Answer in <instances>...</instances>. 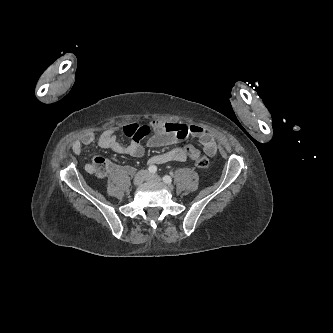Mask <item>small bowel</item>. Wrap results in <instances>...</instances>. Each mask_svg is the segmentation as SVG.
I'll use <instances>...</instances> for the list:
<instances>
[{
    "mask_svg": "<svg viewBox=\"0 0 333 333\" xmlns=\"http://www.w3.org/2000/svg\"><path fill=\"white\" fill-rule=\"evenodd\" d=\"M122 131L126 136L131 138L129 144H122L117 140V130L107 129L101 133L98 138L100 147L110 149L118 154L141 157L144 155L145 149L141 139L148 137L147 143L151 147H159L170 144H175L185 140L189 136L199 139L202 145V152L198 149H193L191 153H186L181 147L172 148L164 153L154 155L150 158L152 165L164 164L172 161H184L189 156L194 159L198 155L206 157L213 156L217 151V146L214 138L208 134L202 127L193 124L165 122L154 120L149 126H140L138 124H128L123 127ZM95 141V135L92 132L84 134L72 144V151L79 154L84 146L90 145ZM111 166L101 157H95L93 162L87 166V171L99 177L103 176Z\"/></svg>",
    "mask_w": 333,
    "mask_h": 333,
    "instance_id": "1",
    "label": "small bowel"
}]
</instances>
